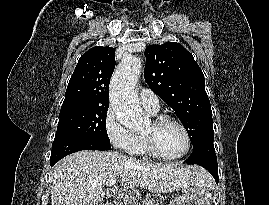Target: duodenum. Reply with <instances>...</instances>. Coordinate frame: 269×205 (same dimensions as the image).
I'll use <instances>...</instances> for the list:
<instances>
[{
  "label": "duodenum",
  "mask_w": 269,
  "mask_h": 205,
  "mask_svg": "<svg viewBox=\"0 0 269 205\" xmlns=\"http://www.w3.org/2000/svg\"><path fill=\"white\" fill-rule=\"evenodd\" d=\"M102 205H112V203L107 202V203H104V204H102Z\"/></svg>",
  "instance_id": "obj_1"
}]
</instances>
